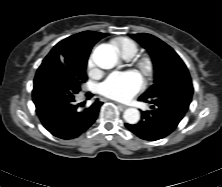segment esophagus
Wrapping results in <instances>:
<instances>
[{"label":"esophagus","mask_w":222,"mask_h":187,"mask_svg":"<svg viewBox=\"0 0 222 187\" xmlns=\"http://www.w3.org/2000/svg\"><path fill=\"white\" fill-rule=\"evenodd\" d=\"M117 105L120 106V107L123 108V109H126V108H127L126 105H123V104H120V103H117Z\"/></svg>","instance_id":"1"}]
</instances>
